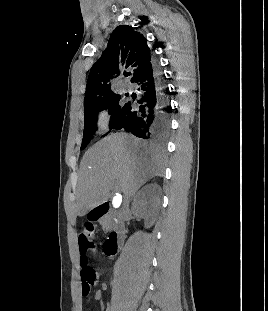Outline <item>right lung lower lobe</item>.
Here are the masks:
<instances>
[{"label": "right lung lower lobe", "instance_id": "1", "mask_svg": "<svg viewBox=\"0 0 268 311\" xmlns=\"http://www.w3.org/2000/svg\"><path fill=\"white\" fill-rule=\"evenodd\" d=\"M132 83L139 99L124 104L113 128L147 140H165L170 132L171 106L154 59Z\"/></svg>", "mask_w": 268, "mask_h": 311}]
</instances>
